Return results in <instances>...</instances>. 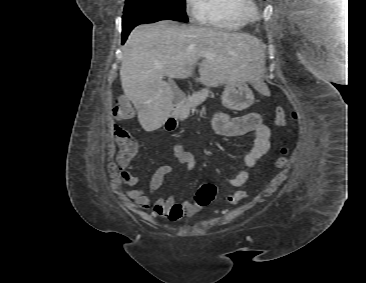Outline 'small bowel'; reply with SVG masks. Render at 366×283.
<instances>
[{
	"mask_svg": "<svg viewBox=\"0 0 366 283\" xmlns=\"http://www.w3.org/2000/svg\"><path fill=\"white\" fill-rule=\"evenodd\" d=\"M215 132L226 138H233L251 134L253 143L244 156L245 169L235 173L229 180L233 187H240L249 178V170L253 168L260 158L265 156L270 148V130L263 123L259 113H247L236 118H229L223 112H217L212 120ZM175 157L185 165L187 171L193 170L195 159L193 155L184 150L181 144L174 147ZM172 172L170 166H161L151 177L148 193L141 188H132L126 191V196L135 202L141 210H147L151 204V196L160 189L164 178ZM120 180L122 184L134 187L139 183V176L132 172L128 164H120ZM199 207L189 201L177 202L173 197L158 198L152 207L153 214L159 218L177 221L183 216H189L198 211Z\"/></svg>",
	"mask_w": 366,
	"mask_h": 283,
	"instance_id": "1",
	"label": "small bowel"
}]
</instances>
